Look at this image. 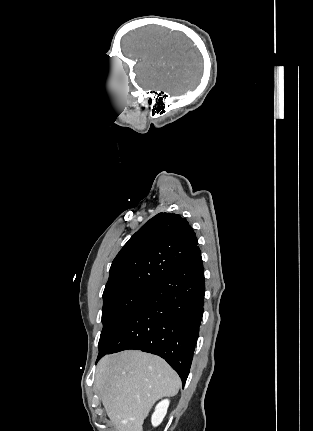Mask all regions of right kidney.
<instances>
[{"mask_svg": "<svg viewBox=\"0 0 313 431\" xmlns=\"http://www.w3.org/2000/svg\"><path fill=\"white\" fill-rule=\"evenodd\" d=\"M169 407V400H162L161 402H159L156 407H155V411L152 415L151 418V422L152 425L154 427H157L161 424V422L163 421L166 413H167V409Z\"/></svg>", "mask_w": 313, "mask_h": 431, "instance_id": "obj_1", "label": "right kidney"}]
</instances>
